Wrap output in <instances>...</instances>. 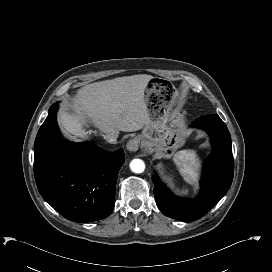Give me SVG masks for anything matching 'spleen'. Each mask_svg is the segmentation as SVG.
<instances>
[{
  "instance_id": "3e777b00",
  "label": "spleen",
  "mask_w": 272,
  "mask_h": 272,
  "mask_svg": "<svg viewBox=\"0 0 272 272\" xmlns=\"http://www.w3.org/2000/svg\"><path fill=\"white\" fill-rule=\"evenodd\" d=\"M173 161L184 180L190 184H194L200 166V159L197 157L196 151L181 150L174 155Z\"/></svg>"
}]
</instances>
